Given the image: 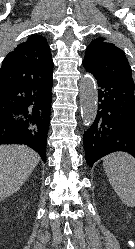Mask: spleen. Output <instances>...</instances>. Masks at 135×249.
<instances>
[{
    "label": "spleen",
    "mask_w": 135,
    "mask_h": 249,
    "mask_svg": "<svg viewBox=\"0 0 135 249\" xmlns=\"http://www.w3.org/2000/svg\"><path fill=\"white\" fill-rule=\"evenodd\" d=\"M103 166L122 203L135 207V159L124 152L114 153L103 159Z\"/></svg>",
    "instance_id": "1"
}]
</instances>
